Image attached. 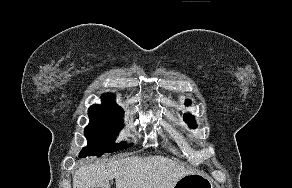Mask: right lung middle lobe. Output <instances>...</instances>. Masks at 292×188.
<instances>
[{
    "label": "right lung middle lobe",
    "instance_id": "1",
    "mask_svg": "<svg viewBox=\"0 0 292 188\" xmlns=\"http://www.w3.org/2000/svg\"><path fill=\"white\" fill-rule=\"evenodd\" d=\"M114 99L113 95L105 94L102 105H93L89 108L90 123L84 131L88 145L80 153L81 157L98 156L127 147L124 143L114 144L123 121V109L115 103Z\"/></svg>",
    "mask_w": 292,
    "mask_h": 188
}]
</instances>
